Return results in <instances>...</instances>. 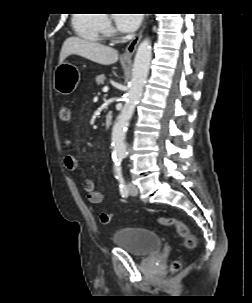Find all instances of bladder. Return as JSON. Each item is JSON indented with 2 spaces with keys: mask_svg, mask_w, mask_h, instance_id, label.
<instances>
[{
  "mask_svg": "<svg viewBox=\"0 0 252 303\" xmlns=\"http://www.w3.org/2000/svg\"><path fill=\"white\" fill-rule=\"evenodd\" d=\"M113 244L137 257H149L162 247L160 236L143 228H124L112 238Z\"/></svg>",
  "mask_w": 252,
  "mask_h": 303,
  "instance_id": "bladder-1",
  "label": "bladder"
}]
</instances>
